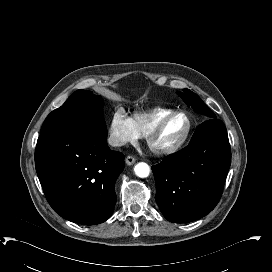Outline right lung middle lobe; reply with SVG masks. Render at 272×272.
<instances>
[{
  "label": "right lung middle lobe",
  "mask_w": 272,
  "mask_h": 272,
  "mask_svg": "<svg viewBox=\"0 0 272 272\" xmlns=\"http://www.w3.org/2000/svg\"><path fill=\"white\" fill-rule=\"evenodd\" d=\"M103 101L91 91L77 90L59 108L45 119L41 133L55 126L83 119H98L105 123L102 116Z\"/></svg>",
  "instance_id": "1"
}]
</instances>
